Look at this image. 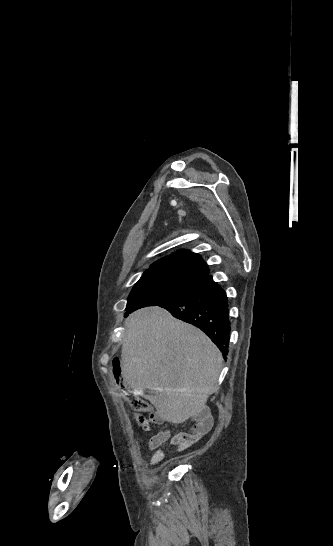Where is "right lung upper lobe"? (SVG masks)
Masks as SVG:
<instances>
[{"label": "right lung upper lobe", "instance_id": "right-lung-upper-lobe-1", "mask_svg": "<svg viewBox=\"0 0 333 546\" xmlns=\"http://www.w3.org/2000/svg\"><path fill=\"white\" fill-rule=\"evenodd\" d=\"M144 274H165L203 281L209 274V269L201 256L191 251L181 250L156 261Z\"/></svg>", "mask_w": 333, "mask_h": 546}]
</instances>
